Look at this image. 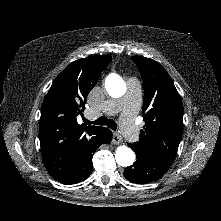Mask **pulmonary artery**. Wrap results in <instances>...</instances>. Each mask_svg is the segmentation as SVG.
I'll return each mask as SVG.
<instances>
[{"label": "pulmonary artery", "instance_id": "pulmonary-artery-1", "mask_svg": "<svg viewBox=\"0 0 221 221\" xmlns=\"http://www.w3.org/2000/svg\"><path fill=\"white\" fill-rule=\"evenodd\" d=\"M140 105V91L137 84L132 80L127 83V93L124 99L109 100L102 106V111L115 114L122 111L121 132L131 141L138 140V129L135 125V116ZM98 110H90L88 115L97 113Z\"/></svg>", "mask_w": 221, "mask_h": 221}]
</instances>
